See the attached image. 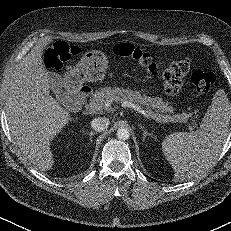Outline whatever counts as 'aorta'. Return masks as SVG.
Listing matches in <instances>:
<instances>
[{
	"label": "aorta",
	"instance_id": "aorta-1",
	"mask_svg": "<svg viewBox=\"0 0 231 231\" xmlns=\"http://www.w3.org/2000/svg\"><path fill=\"white\" fill-rule=\"evenodd\" d=\"M116 134L119 140H127L130 136L129 130L126 128H119Z\"/></svg>",
	"mask_w": 231,
	"mask_h": 231
}]
</instances>
